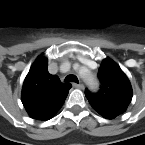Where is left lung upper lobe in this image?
Instances as JSON below:
<instances>
[{
    "label": "left lung upper lobe",
    "instance_id": "5c2ea615",
    "mask_svg": "<svg viewBox=\"0 0 145 145\" xmlns=\"http://www.w3.org/2000/svg\"><path fill=\"white\" fill-rule=\"evenodd\" d=\"M101 87L98 93L85 95L91 106L104 118L113 119L122 114L132 100V87L121 68L109 58L104 59L98 71Z\"/></svg>",
    "mask_w": 145,
    "mask_h": 145
}]
</instances>
